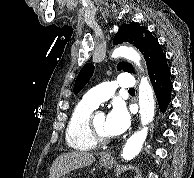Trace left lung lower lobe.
Masks as SVG:
<instances>
[{
  "mask_svg": "<svg viewBox=\"0 0 194 178\" xmlns=\"http://www.w3.org/2000/svg\"><path fill=\"white\" fill-rule=\"evenodd\" d=\"M156 94L160 110L164 111L171 100L172 83L170 80V69L167 64L166 56L148 73Z\"/></svg>",
  "mask_w": 194,
  "mask_h": 178,
  "instance_id": "obj_1",
  "label": "left lung lower lobe"
}]
</instances>
